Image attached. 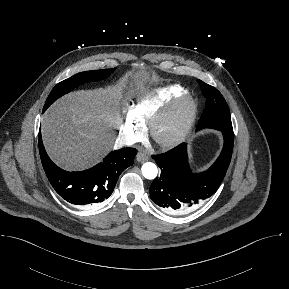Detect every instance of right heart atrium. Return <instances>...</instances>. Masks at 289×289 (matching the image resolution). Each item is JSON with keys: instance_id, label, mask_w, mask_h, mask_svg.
<instances>
[{"instance_id": "right-heart-atrium-1", "label": "right heart atrium", "mask_w": 289, "mask_h": 289, "mask_svg": "<svg viewBox=\"0 0 289 289\" xmlns=\"http://www.w3.org/2000/svg\"><path fill=\"white\" fill-rule=\"evenodd\" d=\"M143 131V124L134 116L132 109L128 108L120 125V133L127 141L137 140Z\"/></svg>"}]
</instances>
